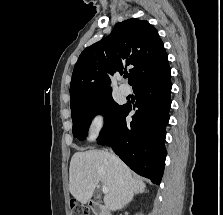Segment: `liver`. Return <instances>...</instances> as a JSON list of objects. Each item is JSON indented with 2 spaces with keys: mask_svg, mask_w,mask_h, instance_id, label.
I'll list each match as a JSON object with an SVG mask.
<instances>
[{
  "mask_svg": "<svg viewBox=\"0 0 223 215\" xmlns=\"http://www.w3.org/2000/svg\"><path fill=\"white\" fill-rule=\"evenodd\" d=\"M102 181L108 187L104 195L106 209H121L124 203L133 199L135 193H143L146 185L141 177H133L128 165L119 157L104 149L76 151L69 167V191L73 197L87 203L95 187Z\"/></svg>",
  "mask_w": 223,
  "mask_h": 215,
  "instance_id": "liver-1",
  "label": "liver"
}]
</instances>
